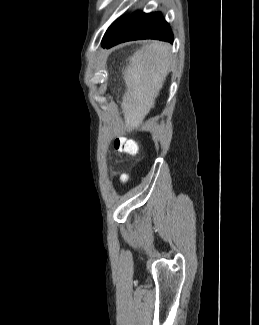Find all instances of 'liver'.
I'll return each instance as SVG.
<instances>
[{
	"mask_svg": "<svg viewBox=\"0 0 259 325\" xmlns=\"http://www.w3.org/2000/svg\"><path fill=\"white\" fill-rule=\"evenodd\" d=\"M170 46L154 41L137 50L123 70L126 91L121 104L125 122L139 126L155 106V100L169 74Z\"/></svg>",
	"mask_w": 259,
	"mask_h": 325,
	"instance_id": "6515ba94",
	"label": "liver"
}]
</instances>
